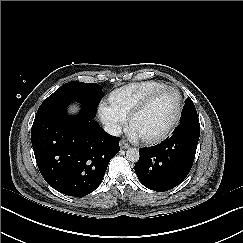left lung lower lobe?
Returning <instances> with one entry per match:
<instances>
[{"mask_svg": "<svg viewBox=\"0 0 243 243\" xmlns=\"http://www.w3.org/2000/svg\"><path fill=\"white\" fill-rule=\"evenodd\" d=\"M200 136L197 118L180 122L173 136L156 146L139 149L135 172L147 188L165 192L179 185L193 165Z\"/></svg>", "mask_w": 243, "mask_h": 243, "instance_id": "obj_1", "label": "left lung lower lobe"}]
</instances>
